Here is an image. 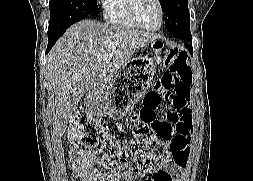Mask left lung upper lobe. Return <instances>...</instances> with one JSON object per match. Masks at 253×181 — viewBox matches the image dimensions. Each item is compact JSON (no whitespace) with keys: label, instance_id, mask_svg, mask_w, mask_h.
<instances>
[{"label":"left lung upper lobe","instance_id":"obj_1","mask_svg":"<svg viewBox=\"0 0 253 181\" xmlns=\"http://www.w3.org/2000/svg\"><path fill=\"white\" fill-rule=\"evenodd\" d=\"M166 29L176 37L191 41L188 0H160Z\"/></svg>","mask_w":253,"mask_h":181}]
</instances>
